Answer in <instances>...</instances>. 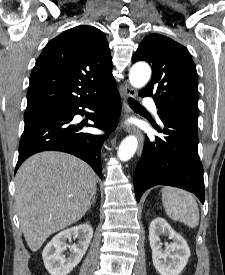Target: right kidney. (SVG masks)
Instances as JSON below:
<instances>
[{"label": "right kidney", "mask_w": 225, "mask_h": 275, "mask_svg": "<svg viewBox=\"0 0 225 275\" xmlns=\"http://www.w3.org/2000/svg\"><path fill=\"white\" fill-rule=\"evenodd\" d=\"M78 239L73 245H68L67 240ZM93 237V229L89 224H80L58 233L45 246L42 258L45 268L51 275H68L83 258ZM69 248L67 256L64 251Z\"/></svg>", "instance_id": "1"}]
</instances>
